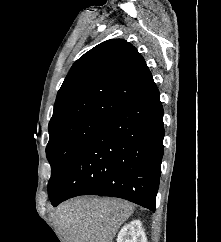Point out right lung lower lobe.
<instances>
[{
	"label": "right lung lower lobe",
	"mask_w": 221,
	"mask_h": 242,
	"mask_svg": "<svg viewBox=\"0 0 221 242\" xmlns=\"http://www.w3.org/2000/svg\"><path fill=\"white\" fill-rule=\"evenodd\" d=\"M163 138V107L154 84L85 139L49 192L52 205L93 194L154 211Z\"/></svg>",
	"instance_id": "1"
}]
</instances>
